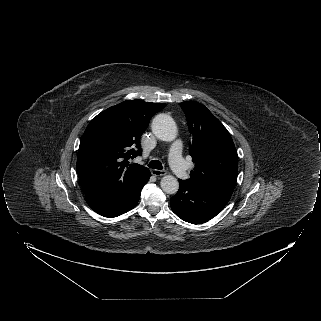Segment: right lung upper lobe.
<instances>
[{
  "label": "right lung upper lobe",
  "instance_id": "right-lung-upper-lobe-1",
  "mask_svg": "<svg viewBox=\"0 0 321 321\" xmlns=\"http://www.w3.org/2000/svg\"><path fill=\"white\" fill-rule=\"evenodd\" d=\"M166 104L127 100L98 114L86 128L78 150L77 170L85 194L130 186L150 171L129 164L142 154L140 137L154 114Z\"/></svg>",
  "mask_w": 321,
  "mask_h": 321
}]
</instances>
